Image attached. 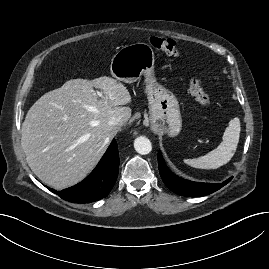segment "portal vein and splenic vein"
<instances>
[{"label":"portal vein and splenic vein","mask_w":269,"mask_h":269,"mask_svg":"<svg viewBox=\"0 0 269 269\" xmlns=\"http://www.w3.org/2000/svg\"><path fill=\"white\" fill-rule=\"evenodd\" d=\"M97 94H98L99 97L104 98L103 94L101 92L97 91Z\"/></svg>","instance_id":"portal-vein-and-splenic-vein-1"}]
</instances>
